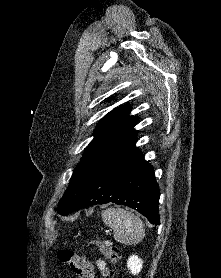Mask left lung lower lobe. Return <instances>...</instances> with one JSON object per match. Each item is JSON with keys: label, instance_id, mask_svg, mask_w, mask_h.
<instances>
[{"label": "left lung lower lobe", "instance_id": "0a47b994", "mask_svg": "<svg viewBox=\"0 0 221 278\" xmlns=\"http://www.w3.org/2000/svg\"><path fill=\"white\" fill-rule=\"evenodd\" d=\"M135 142L99 171L72 211L98 204L116 203L137 210L152 224H160V192L154 169L144 160V155L135 146Z\"/></svg>", "mask_w": 221, "mask_h": 278}]
</instances>
